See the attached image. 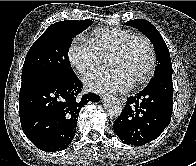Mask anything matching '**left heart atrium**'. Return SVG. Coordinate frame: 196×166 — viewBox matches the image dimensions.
Returning <instances> with one entry per match:
<instances>
[{
  "label": "left heart atrium",
  "instance_id": "left-heart-atrium-1",
  "mask_svg": "<svg viewBox=\"0 0 196 166\" xmlns=\"http://www.w3.org/2000/svg\"><path fill=\"white\" fill-rule=\"evenodd\" d=\"M86 86L96 92L128 91L134 82L119 68L100 69L92 72L85 78Z\"/></svg>",
  "mask_w": 196,
  "mask_h": 166
}]
</instances>
